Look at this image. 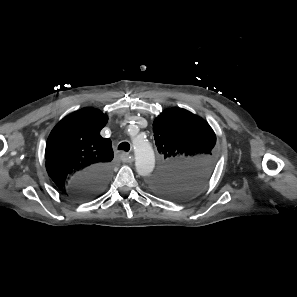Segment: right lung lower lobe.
<instances>
[{"label":"right lung lower lobe","mask_w":297,"mask_h":297,"mask_svg":"<svg viewBox=\"0 0 297 297\" xmlns=\"http://www.w3.org/2000/svg\"><path fill=\"white\" fill-rule=\"evenodd\" d=\"M110 167L98 166L73 177L64 194L75 200H87L100 193L107 185Z\"/></svg>","instance_id":"98d812e1"}]
</instances>
